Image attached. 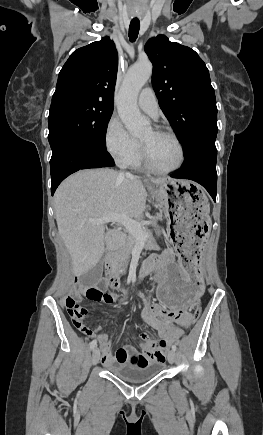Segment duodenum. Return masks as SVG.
I'll list each match as a JSON object with an SVG mask.
<instances>
[{
  "mask_svg": "<svg viewBox=\"0 0 263 435\" xmlns=\"http://www.w3.org/2000/svg\"><path fill=\"white\" fill-rule=\"evenodd\" d=\"M106 266H107V271H108V273H109V275L112 277V278H114L115 277V275H116V272L114 271V269H113V255H112V253H109L108 255H107V258H106ZM112 280V284H115L116 283V281H115V279H111Z\"/></svg>",
  "mask_w": 263,
  "mask_h": 435,
  "instance_id": "obj_1",
  "label": "duodenum"
}]
</instances>
